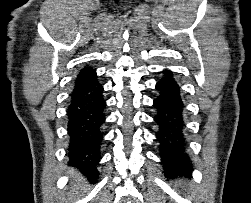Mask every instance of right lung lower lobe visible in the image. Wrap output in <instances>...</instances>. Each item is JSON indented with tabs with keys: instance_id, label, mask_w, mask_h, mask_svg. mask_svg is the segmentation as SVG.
<instances>
[{
	"instance_id": "1",
	"label": "right lung lower lobe",
	"mask_w": 251,
	"mask_h": 203,
	"mask_svg": "<svg viewBox=\"0 0 251 203\" xmlns=\"http://www.w3.org/2000/svg\"><path fill=\"white\" fill-rule=\"evenodd\" d=\"M103 87L95 70L80 71L74 83L67 108L68 157L73 165L90 179L99 176L97 165L101 159V132L105 121Z\"/></svg>"
}]
</instances>
